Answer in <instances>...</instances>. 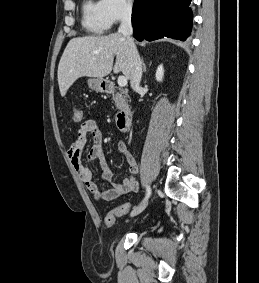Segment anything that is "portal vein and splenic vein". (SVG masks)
<instances>
[{
	"mask_svg": "<svg viewBox=\"0 0 259 283\" xmlns=\"http://www.w3.org/2000/svg\"><path fill=\"white\" fill-rule=\"evenodd\" d=\"M118 85L120 87H125L127 85V78L124 76H119L118 77Z\"/></svg>",
	"mask_w": 259,
	"mask_h": 283,
	"instance_id": "portal-vein-and-splenic-vein-1",
	"label": "portal vein and splenic vein"
}]
</instances>
